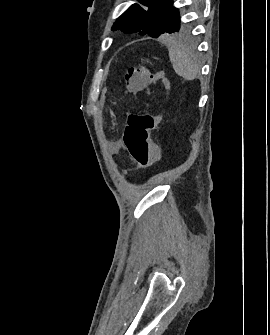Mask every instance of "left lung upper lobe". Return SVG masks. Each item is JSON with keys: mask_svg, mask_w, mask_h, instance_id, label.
<instances>
[{"mask_svg": "<svg viewBox=\"0 0 270 335\" xmlns=\"http://www.w3.org/2000/svg\"><path fill=\"white\" fill-rule=\"evenodd\" d=\"M143 6L131 5L114 23L112 30L125 33L140 32L151 37L165 33H185L188 27L181 23L180 14L172 0H138Z\"/></svg>", "mask_w": 270, "mask_h": 335, "instance_id": "obj_1", "label": "left lung upper lobe"}]
</instances>
